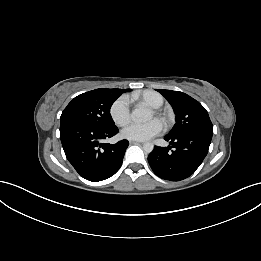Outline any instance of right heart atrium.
<instances>
[{"label": "right heart atrium", "mask_w": 261, "mask_h": 261, "mask_svg": "<svg viewBox=\"0 0 261 261\" xmlns=\"http://www.w3.org/2000/svg\"><path fill=\"white\" fill-rule=\"evenodd\" d=\"M110 115L115 124L125 125L130 119V101L127 96L117 98L110 108Z\"/></svg>", "instance_id": "obj_1"}]
</instances>
